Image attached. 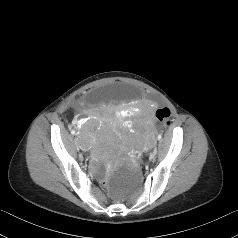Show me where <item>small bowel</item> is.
Segmentation results:
<instances>
[{
	"instance_id": "small-bowel-1",
	"label": "small bowel",
	"mask_w": 238,
	"mask_h": 238,
	"mask_svg": "<svg viewBox=\"0 0 238 238\" xmlns=\"http://www.w3.org/2000/svg\"><path fill=\"white\" fill-rule=\"evenodd\" d=\"M146 118H147V121H148L149 124L153 123L154 113H153V106L152 105L147 106ZM83 119L84 118L82 116H78L77 118L74 119V124L76 126H78L79 124H81Z\"/></svg>"
}]
</instances>
